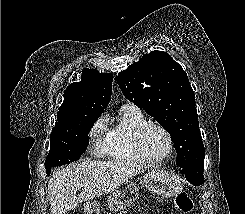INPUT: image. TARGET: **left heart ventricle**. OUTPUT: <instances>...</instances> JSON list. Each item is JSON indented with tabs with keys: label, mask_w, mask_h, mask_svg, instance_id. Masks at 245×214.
Masks as SVG:
<instances>
[{
	"label": "left heart ventricle",
	"mask_w": 245,
	"mask_h": 214,
	"mask_svg": "<svg viewBox=\"0 0 245 214\" xmlns=\"http://www.w3.org/2000/svg\"><path fill=\"white\" fill-rule=\"evenodd\" d=\"M143 150L149 159H159L168 150V140L162 131L157 128H150L143 136Z\"/></svg>",
	"instance_id": "1"
}]
</instances>
